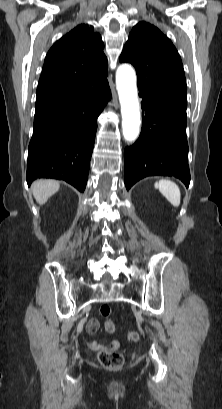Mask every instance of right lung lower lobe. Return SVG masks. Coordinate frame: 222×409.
Instances as JSON below:
<instances>
[{
  "label": "right lung lower lobe",
  "instance_id": "obj_1",
  "mask_svg": "<svg viewBox=\"0 0 222 409\" xmlns=\"http://www.w3.org/2000/svg\"><path fill=\"white\" fill-rule=\"evenodd\" d=\"M110 98L105 74L90 79L77 96L36 106L28 148L29 185L36 178H55L85 190L97 117Z\"/></svg>",
  "mask_w": 222,
  "mask_h": 409
}]
</instances>
